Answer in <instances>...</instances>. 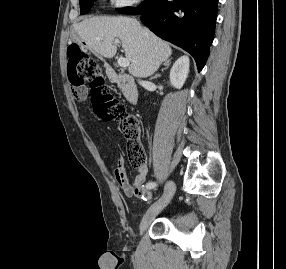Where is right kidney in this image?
Listing matches in <instances>:
<instances>
[{
  "label": "right kidney",
  "mask_w": 286,
  "mask_h": 269,
  "mask_svg": "<svg viewBox=\"0 0 286 269\" xmlns=\"http://www.w3.org/2000/svg\"><path fill=\"white\" fill-rule=\"evenodd\" d=\"M189 73V58L182 56L173 64L170 70V82L176 89H181Z\"/></svg>",
  "instance_id": "right-kidney-1"
}]
</instances>
